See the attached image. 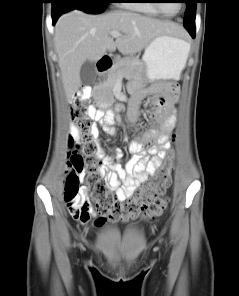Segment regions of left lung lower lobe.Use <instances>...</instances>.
Returning <instances> with one entry per match:
<instances>
[{"instance_id": "0a47b994", "label": "left lung lower lobe", "mask_w": 239, "mask_h": 296, "mask_svg": "<svg viewBox=\"0 0 239 296\" xmlns=\"http://www.w3.org/2000/svg\"><path fill=\"white\" fill-rule=\"evenodd\" d=\"M185 28L188 30L192 38H195V25H188Z\"/></svg>"}]
</instances>
